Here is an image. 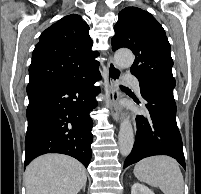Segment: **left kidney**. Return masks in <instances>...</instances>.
<instances>
[{
    "instance_id": "left-kidney-1",
    "label": "left kidney",
    "mask_w": 201,
    "mask_h": 194,
    "mask_svg": "<svg viewBox=\"0 0 201 194\" xmlns=\"http://www.w3.org/2000/svg\"><path fill=\"white\" fill-rule=\"evenodd\" d=\"M131 194H154V192L141 183H134Z\"/></svg>"
}]
</instances>
